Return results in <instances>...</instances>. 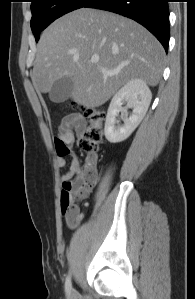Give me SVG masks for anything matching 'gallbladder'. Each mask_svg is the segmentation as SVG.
<instances>
[{"label":"gallbladder","instance_id":"obj_1","mask_svg":"<svg viewBox=\"0 0 195 299\" xmlns=\"http://www.w3.org/2000/svg\"><path fill=\"white\" fill-rule=\"evenodd\" d=\"M74 82L70 77H62L54 82L49 91V98L54 103H62L71 97Z\"/></svg>","mask_w":195,"mask_h":299}]
</instances>
